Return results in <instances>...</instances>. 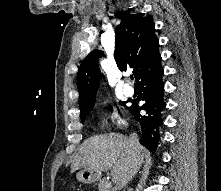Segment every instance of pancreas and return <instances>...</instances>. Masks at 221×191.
I'll use <instances>...</instances> for the list:
<instances>
[{
  "mask_svg": "<svg viewBox=\"0 0 221 191\" xmlns=\"http://www.w3.org/2000/svg\"><path fill=\"white\" fill-rule=\"evenodd\" d=\"M108 181L106 179H101L99 184H98V190L99 191H115L114 188H112L111 186H107Z\"/></svg>",
  "mask_w": 221,
  "mask_h": 191,
  "instance_id": "cf45deb5",
  "label": "pancreas"
}]
</instances>
